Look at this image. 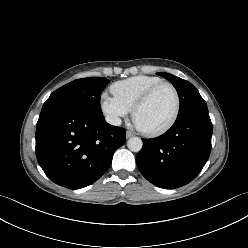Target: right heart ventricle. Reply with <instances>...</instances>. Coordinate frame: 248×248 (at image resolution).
<instances>
[{
  "label": "right heart ventricle",
  "instance_id": "e07e8e85",
  "mask_svg": "<svg viewBox=\"0 0 248 248\" xmlns=\"http://www.w3.org/2000/svg\"><path fill=\"white\" fill-rule=\"evenodd\" d=\"M162 80L154 76L137 75L115 82L111 86L112 93L130 109L136 101L153 85Z\"/></svg>",
  "mask_w": 248,
  "mask_h": 248
}]
</instances>
